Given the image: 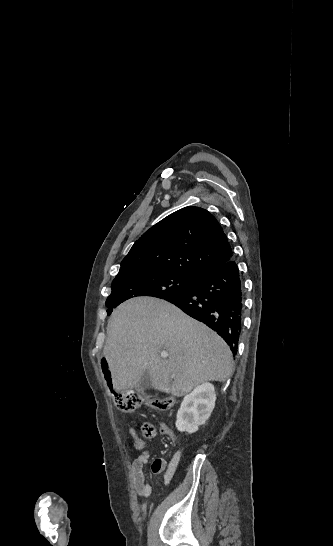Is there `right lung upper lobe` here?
<instances>
[{
	"instance_id": "cb5924a9",
	"label": "right lung upper lobe",
	"mask_w": 333,
	"mask_h": 546,
	"mask_svg": "<svg viewBox=\"0 0 333 546\" xmlns=\"http://www.w3.org/2000/svg\"><path fill=\"white\" fill-rule=\"evenodd\" d=\"M232 258V249L215 217L205 209L190 206L146 231L123 259L120 270L201 277Z\"/></svg>"
}]
</instances>
